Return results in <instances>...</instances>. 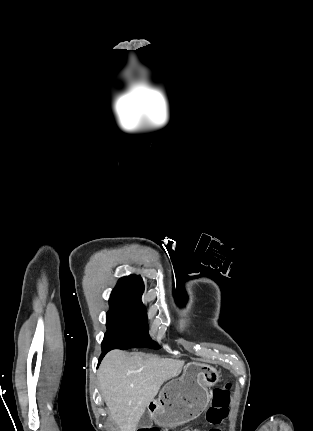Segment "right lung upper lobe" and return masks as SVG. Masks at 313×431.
I'll return each instance as SVG.
<instances>
[{"label": "right lung upper lobe", "mask_w": 313, "mask_h": 431, "mask_svg": "<svg viewBox=\"0 0 313 431\" xmlns=\"http://www.w3.org/2000/svg\"><path fill=\"white\" fill-rule=\"evenodd\" d=\"M144 291V283L140 275H129L122 277L115 289L112 291L111 298L141 302Z\"/></svg>", "instance_id": "1"}]
</instances>
